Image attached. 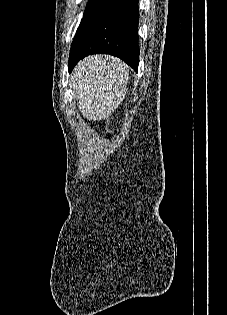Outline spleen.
<instances>
[{
  "label": "spleen",
  "mask_w": 227,
  "mask_h": 315,
  "mask_svg": "<svg viewBox=\"0 0 227 315\" xmlns=\"http://www.w3.org/2000/svg\"><path fill=\"white\" fill-rule=\"evenodd\" d=\"M129 69L111 58H89L75 70L73 89L84 117L99 120L108 117L126 93Z\"/></svg>",
  "instance_id": "obj_1"
}]
</instances>
